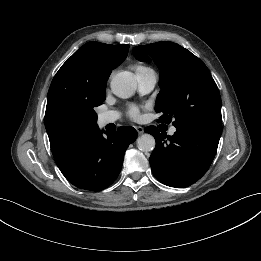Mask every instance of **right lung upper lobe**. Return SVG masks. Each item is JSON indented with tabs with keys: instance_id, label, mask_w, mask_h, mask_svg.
I'll return each instance as SVG.
<instances>
[{
	"instance_id": "cb5924a9",
	"label": "right lung upper lobe",
	"mask_w": 261,
	"mask_h": 261,
	"mask_svg": "<svg viewBox=\"0 0 261 261\" xmlns=\"http://www.w3.org/2000/svg\"><path fill=\"white\" fill-rule=\"evenodd\" d=\"M128 49L126 44L88 42L56 73L48 91L45 127L57 165L98 128L93 108L103 103L109 75Z\"/></svg>"
}]
</instances>
